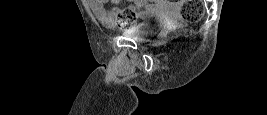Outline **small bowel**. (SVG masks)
I'll return each mask as SVG.
<instances>
[{"label":"small bowel","mask_w":267,"mask_h":115,"mask_svg":"<svg viewBox=\"0 0 267 115\" xmlns=\"http://www.w3.org/2000/svg\"><path fill=\"white\" fill-rule=\"evenodd\" d=\"M127 2L136 7H144L146 13L155 15H165L178 9V5L164 0H128ZM89 4L96 16L101 19L110 18L104 7V0H90Z\"/></svg>","instance_id":"c3829d8e"}]
</instances>
